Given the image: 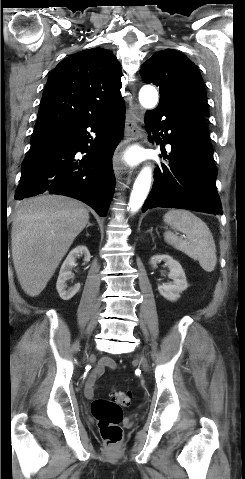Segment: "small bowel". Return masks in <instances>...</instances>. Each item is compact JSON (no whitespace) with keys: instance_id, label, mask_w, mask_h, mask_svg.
I'll list each match as a JSON object with an SVG mask.
<instances>
[{"instance_id":"obj_1","label":"small bowel","mask_w":245,"mask_h":479,"mask_svg":"<svg viewBox=\"0 0 245 479\" xmlns=\"http://www.w3.org/2000/svg\"><path fill=\"white\" fill-rule=\"evenodd\" d=\"M117 367L115 361L109 357L103 358L100 363L96 366L94 372L87 379L85 386V393L88 397H94L96 381L99 376H101L106 368L115 369Z\"/></svg>"}]
</instances>
